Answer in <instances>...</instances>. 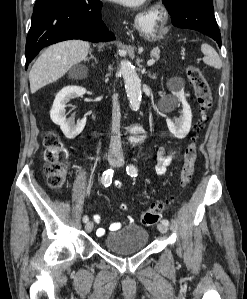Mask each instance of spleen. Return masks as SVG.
<instances>
[{
    "instance_id": "3e777b00",
    "label": "spleen",
    "mask_w": 247,
    "mask_h": 299,
    "mask_svg": "<svg viewBox=\"0 0 247 299\" xmlns=\"http://www.w3.org/2000/svg\"><path fill=\"white\" fill-rule=\"evenodd\" d=\"M201 51L205 55L204 62L207 65L216 69H220L222 67V61L213 47H211L207 43H204L201 45Z\"/></svg>"
}]
</instances>
